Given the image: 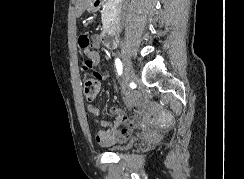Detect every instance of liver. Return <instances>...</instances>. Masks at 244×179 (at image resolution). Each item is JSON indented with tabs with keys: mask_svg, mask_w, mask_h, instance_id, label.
I'll list each match as a JSON object with an SVG mask.
<instances>
[{
	"mask_svg": "<svg viewBox=\"0 0 244 179\" xmlns=\"http://www.w3.org/2000/svg\"><path fill=\"white\" fill-rule=\"evenodd\" d=\"M94 0H76V16L79 18L85 12L87 6H91Z\"/></svg>",
	"mask_w": 244,
	"mask_h": 179,
	"instance_id": "1",
	"label": "liver"
}]
</instances>
